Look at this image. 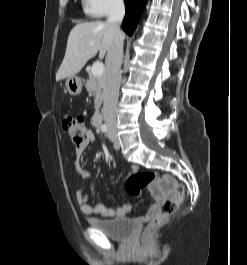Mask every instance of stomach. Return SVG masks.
I'll return each instance as SVG.
<instances>
[{"instance_id": "obj_1", "label": "stomach", "mask_w": 247, "mask_h": 265, "mask_svg": "<svg viewBox=\"0 0 247 265\" xmlns=\"http://www.w3.org/2000/svg\"><path fill=\"white\" fill-rule=\"evenodd\" d=\"M64 84L71 96H77L82 91V81L78 76H70L64 79Z\"/></svg>"}]
</instances>
